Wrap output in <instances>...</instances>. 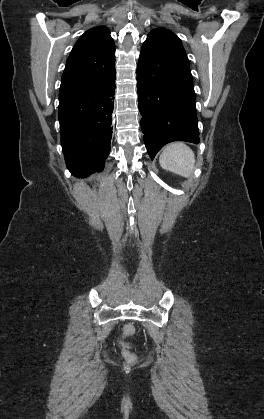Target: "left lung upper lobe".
Masks as SVG:
<instances>
[{"mask_svg": "<svg viewBox=\"0 0 264 419\" xmlns=\"http://www.w3.org/2000/svg\"><path fill=\"white\" fill-rule=\"evenodd\" d=\"M149 35H167V36H170L173 39V41L175 42V45L178 47V49L184 55H186L185 50H184V48H183V46L181 44V40L174 33H172L171 31L165 30V29H162V28H158V29H155V30L151 31L149 33Z\"/></svg>", "mask_w": 264, "mask_h": 419, "instance_id": "obj_1", "label": "left lung upper lobe"}]
</instances>
